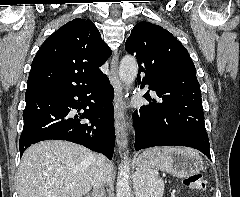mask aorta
Segmentation results:
<instances>
[{"instance_id":"762f6f07","label":"aorta","mask_w":240,"mask_h":197,"mask_svg":"<svg viewBox=\"0 0 240 197\" xmlns=\"http://www.w3.org/2000/svg\"><path fill=\"white\" fill-rule=\"evenodd\" d=\"M138 73V64L134 57L126 55L122 58L119 67V77L126 88H129L134 82ZM142 175H138V178ZM130 167L128 161V152L124 154L123 160L119 166L116 183V197H132L130 188Z\"/></svg>"}]
</instances>
